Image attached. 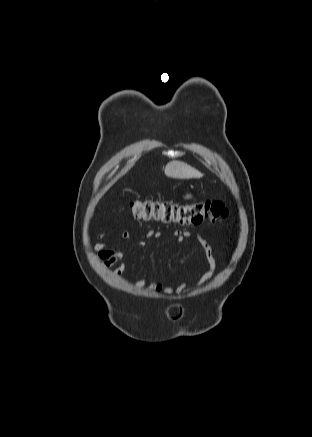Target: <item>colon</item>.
Here are the masks:
<instances>
[{
    "instance_id": "colon-1",
    "label": "colon",
    "mask_w": 312,
    "mask_h": 437,
    "mask_svg": "<svg viewBox=\"0 0 312 437\" xmlns=\"http://www.w3.org/2000/svg\"><path fill=\"white\" fill-rule=\"evenodd\" d=\"M130 208L136 220L181 225H199L205 221L215 223L228 215L221 202L210 200L179 204L168 200L137 199Z\"/></svg>"
}]
</instances>
